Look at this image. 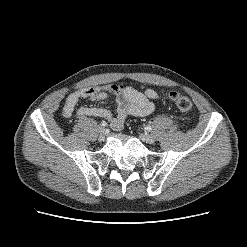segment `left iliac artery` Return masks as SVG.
<instances>
[{"label": "left iliac artery", "instance_id": "44dca946", "mask_svg": "<svg viewBox=\"0 0 247 247\" xmlns=\"http://www.w3.org/2000/svg\"><path fill=\"white\" fill-rule=\"evenodd\" d=\"M145 130L151 131V130H152V127H151V126H146V127H145Z\"/></svg>", "mask_w": 247, "mask_h": 247}]
</instances>
